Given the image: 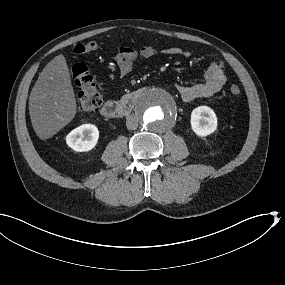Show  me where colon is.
Here are the masks:
<instances>
[{
    "instance_id": "1",
    "label": "colon",
    "mask_w": 285,
    "mask_h": 285,
    "mask_svg": "<svg viewBox=\"0 0 285 285\" xmlns=\"http://www.w3.org/2000/svg\"><path fill=\"white\" fill-rule=\"evenodd\" d=\"M100 47V43L94 40L79 43L73 48L76 55H83ZM72 77L79 88V110L89 113L100 108L103 102L102 95L97 87L94 75L86 65L77 63L72 67ZM229 92L232 96H238L241 89L238 85H231Z\"/></svg>"
}]
</instances>
